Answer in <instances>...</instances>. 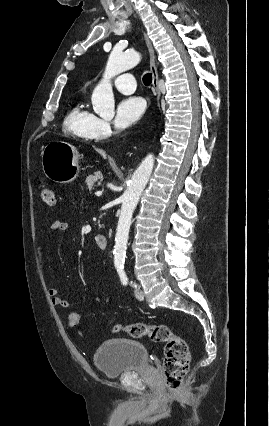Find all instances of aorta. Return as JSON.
<instances>
[{
    "label": "aorta",
    "instance_id": "aorta-1",
    "mask_svg": "<svg viewBox=\"0 0 269 426\" xmlns=\"http://www.w3.org/2000/svg\"><path fill=\"white\" fill-rule=\"evenodd\" d=\"M140 60L141 55L136 51L125 53L119 50L112 51L106 65L103 79L94 88L92 93L91 100L96 114L105 119L113 118L115 114V102L110 80L114 76L133 68ZM153 167L154 156L153 154H148L133 173L129 185L122 196V207L113 250L114 263L116 265L124 263L132 214L149 181Z\"/></svg>",
    "mask_w": 269,
    "mask_h": 426
}]
</instances>
